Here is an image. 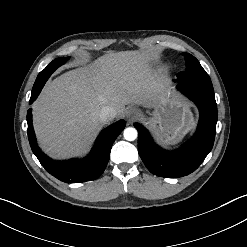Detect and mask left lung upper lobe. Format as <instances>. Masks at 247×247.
<instances>
[{"label": "left lung upper lobe", "mask_w": 247, "mask_h": 247, "mask_svg": "<svg viewBox=\"0 0 247 247\" xmlns=\"http://www.w3.org/2000/svg\"><path fill=\"white\" fill-rule=\"evenodd\" d=\"M186 61V71L180 72L178 78L185 82L212 84L209 75L202 68L199 61L188 53H183Z\"/></svg>", "instance_id": "5c2ea615"}]
</instances>
